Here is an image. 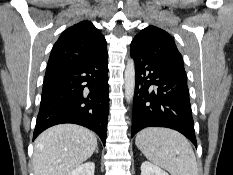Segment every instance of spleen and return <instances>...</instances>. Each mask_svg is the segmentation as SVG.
<instances>
[{"label": "spleen", "mask_w": 233, "mask_h": 175, "mask_svg": "<svg viewBox=\"0 0 233 175\" xmlns=\"http://www.w3.org/2000/svg\"><path fill=\"white\" fill-rule=\"evenodd\" d=\"M135 143L148 160L171 175H198L194 151L179 132L149 127L137 134Z\"/></svg>", "instance_id": "1"}]
</instances>
